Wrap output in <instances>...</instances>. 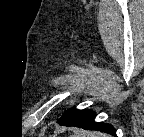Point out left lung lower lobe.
<instances>
[{"mask_svg":"<svg viewBox=\"0 0 144 137\" xmlns=\"http://www.w3.org/2000/svg\"><path fill=\"white\" fill-rule=\"evenodd\" d=\"M95 113L91 110H76L74 107L64 112L57 122L65 126H77L89 130H99L116 136L114 127L107 123L94 122Z\"/></svg>","mask_w":144,"mask_h":137,"instance_id":"1","label":"left lung lower lobe"}]
</instances>
